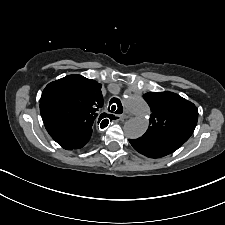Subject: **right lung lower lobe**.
<instances>
[{
	"instance_id": "1",
	"label": "right lung lower lobe",
	"mask_w": 225,
	"mask_h": 225,
	"mask_svg": "<svg viewBox=\"0 0 225 225\" xmlns=\"http://www.w3.org/2000/svg\"><path fill=\"white\" fill-rule=\"evenodd\" d=\"M44 125L50 136L66 150L84 147L92 134V129L78 124L45 122Z\"/></svg>"
}]
</instances>
